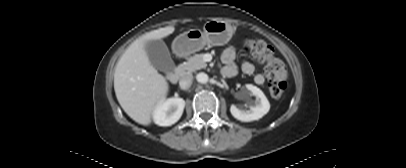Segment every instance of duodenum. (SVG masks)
<instances>
[{
  "mask_svg": "<svg viewBox=\"0 0 406 168\" xmlns=\"http://www.w3.org/2000/svg\"><path fill=\"white\" fill-rule=\"evenodd\" d=\"M180 71L178 69H171L166 73V78L172 82V83H176L179 80L180 77Z\"/></svg>",
  "mask_w": 406,
  "mask_h": 168,
  "instance_id": "410a0bca",
  "label": "duodenum"
}]
</instances>
